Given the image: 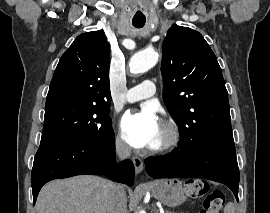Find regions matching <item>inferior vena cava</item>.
Wrapping results in <instances>:
<instances>
[{"instance_id":"1","label":"inferior vena cava","mask_w":270,"mask_h":213,"mask_svg":"<svg viewBox=\"0 0 270 213\" xmlns=\"http://www.w3.org/2000/svg\"><path fill=\"white\" fill-rule=\"evenodd\" d=\"M116 154L119 159H126L131 154V149L124 143L118 142L116 144ZM110 213H127V199L122 186L113 184L111 199H110Z\"/></svg>"}]
</instances>
